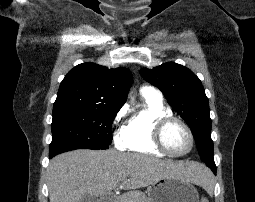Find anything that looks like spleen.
I'll return each instance as SVG.
<instances>
[{
	"mask_svg": "<svg viewBox=\"0 0 255 202\" xmlns=\"http://www.w3.org/2000/svg\"><path fill=\"white\" fill-rule=\"evenodd\" d=\"M203 186L206 190H212L213 188V181H212V175L208 170H202L201 171V182L200 184ZM201 202H209L206 198L202 197Z\"/></svg>",
	"mask_w": 255,
	"mask_h": 202,
	"instance_id": "obj_1",
	"label": "spleen"
}]
</instances>
